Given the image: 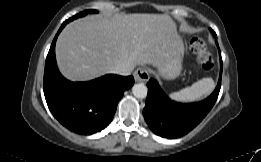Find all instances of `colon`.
<instances>
[{
	"instance_id": "colon-1",
	"label": "colon",
	"mask_w": 261,
	"mask_h": 162,
	"mask_svg": "<svg viewBox=\"0 0 261 162\" xmlns=\"http://www.w3.org/2000/svg\"><path fill=\"white\" fill-rule=\"evenodd\" d=\"M190 46L192 51L197 55L201 67L206 71L211 70L214 66V60L207 48L206 42L202 38L194 37L190 42Z\"/></svg>"
}]
</instances>
